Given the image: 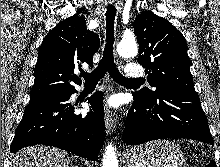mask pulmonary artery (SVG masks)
I'll return each instance as SVG.
<instances>
[{"mask_svg": "<svg viewBox=\"0 0 220 167\" xmlns=\"http://www.w3.org/2000/svg\"><path fill=\"white\" fill-rule=\"evenodd\" d=\"M145 74V69L139 64H129L125 69L126 78H138Z\"/></svg>", "mask_w": 220, "mask_h": 167, "instance_id": "1", "label": "pulmonary artery"}]
</instances>
